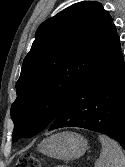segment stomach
Here are the masks:
<instances>
[{"instance_id":"obj_1","label":"stomach","mask_w":125,"mask_h":167,"mask_svg":"<svg viewBox=\"0 0 125 167\" xmlns=\"http://www.w3.org/2000/svg\"><path fill=\"white\" fill-rule=\"evenodd\" d=\"M88 149L87 140L74 132H61L44 139L38 150L60 160H74L81 157Z\"/></svg>"}]
</instances>
